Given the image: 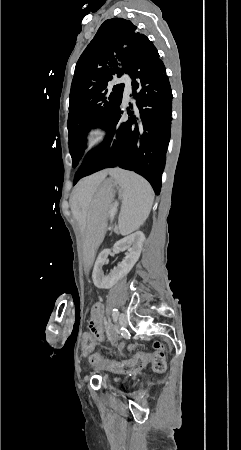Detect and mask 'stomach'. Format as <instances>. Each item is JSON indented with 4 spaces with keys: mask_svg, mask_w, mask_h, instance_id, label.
I'll use <instances>...</instances> for the list:
<instances>
[{
    "mask_svg": "<svg viewBox=\"0 0 241 450\" xmlns=\"http://www.w3.org/2000/svg\"><path fill=\"white\" fill-rule=\"evenodd\" d=\"M115 196V183L104 180L96 190L91 201L86 231L82 242V259L85 271L90 269L97 249L101 244L109 215V209Z\"/></svg>",
    "mask_w": 241,
    "mask_h": 450,
    "instance_id": "obj_1",
    "label": "stomach"
}]
</instances>
